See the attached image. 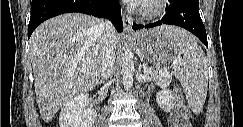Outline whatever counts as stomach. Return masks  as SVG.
Masks as SVG:
<instances>
[{
	"label": "stomach",
	"mask_w": 243,
	"mask_h": 127,
	"mask_svg": "<svg viewBox=\"0 0 243 127\" xmlns=\"http://www.w3.org/2000/svg\"><path fill=\"white\" fill-rule=\"evenodd\" d=\"M167 31L166 26H161L139 32L136 36L139 55L156 66L166 67L174 62L177 48Z\"/></svg>",
	"instance_id": "obj_1"
}]
</instances>
